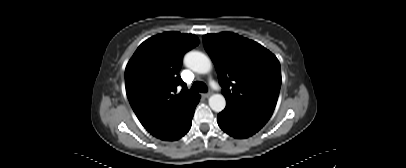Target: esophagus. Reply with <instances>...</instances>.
I'll return each instance as SVG.
<instances>
[{"mask_svg":"<svg viewBox=\"0 0 406 168\" xmlns=\"http://www.w3.org/2000/svg\"><path fill=\"white\" fill-rule=\"evenodd\" d=\"M212 94V91H209L208 93L203 94L204 97H209Z\"/></svg>","mask_w":406,"mask_h":168,"instance_id":"34e87169","label":"esophagus"}]
</instances>
